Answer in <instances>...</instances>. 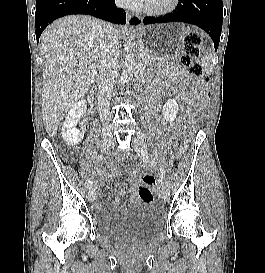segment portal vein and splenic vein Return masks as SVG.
I'll return each instance as SVG.
<instances>
[{"label":"portal vein and splenic vein","mask_w":265,"mask_h":273,"mask_svg":"<svg viewBox=\"0 0 265 273\" xmlns=\"http://www.w3.org/2000/svg\"><path fill=\"white\" fill-rule=\"evenodd\" d=\"M144 54L141 52L140 56H143Z\"/></svg>","instance_id":"1"}]
</instances>
